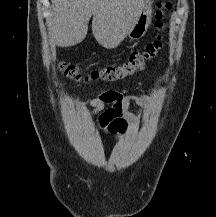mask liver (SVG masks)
<instances>
[{
	"label": "liver",
	"mask_w": 216,
	"mask_h": 217,
	"mask_svg": "<svg viewBox=\"0 0 216 217\" xmlns=\"http://www.w3.org/2000/svg\"><path fill=\"white\" fill-rule=\"evenodd\" d=\"M146 0H51L49 34L54 44L73 46L92 32L106 48L117 47L138 18Z\"/></svg>",
	"instance_id": "obj_1"
}]
</instances>
